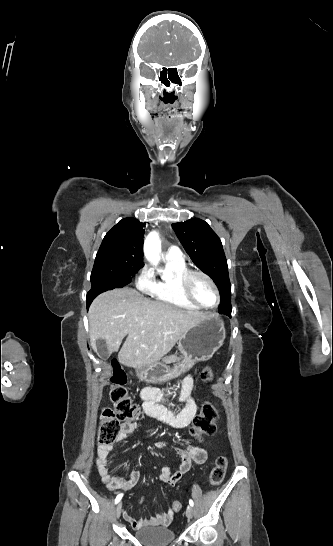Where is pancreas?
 <instances>
[{"mask_svg":"<svg viewBox=\"0 0 333 546\" xmlns=\"http://www.w3.org/2000/svg\"><path fill=\"white\" fill-rule=\"evenodd\" d=\"M163 361L167 364L169 363H173V362H176V361H179V358L176 356V355H170V356H167L163 359Z\"/></svg>","mask_w":333,"mask_h":546,"instance_id":"obj_1","label":"pancreas"}]
</instances>
